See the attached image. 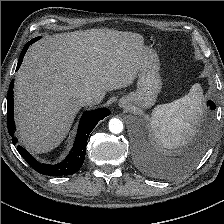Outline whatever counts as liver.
<instances>
[{
    "label": "liver",
    "mask_w": 224,
    "mask_h": 224,
    "mask_svg": "<svg viewBox=\"0 0 224 224\" xmlns=\"http://www.w3.org/2000/svg\"><path fill=\"white\" fill-rule=\"evenodd\" d=\"M140 34L91 29L47 36L33 44L16 74L18 137L32 153H45L66 138L81 105L133 83L145 56Z\"/></svg>",
    "instance_id": "obj_1"
}]
</instances>
